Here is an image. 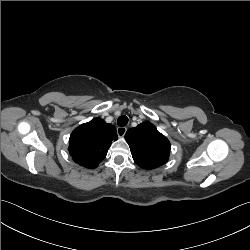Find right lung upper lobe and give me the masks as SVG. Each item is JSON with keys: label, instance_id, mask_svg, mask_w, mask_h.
<instances>
[{"label": "right lung upper lobe", "instance_id": "cb5924a9", "mask_svg": "<svg viewBox=\"0 0 250 250\" xmlns=\"http://www.w3.org/2000/svg\"><path fill=\"white\" fill-rule=\"evenodd\" d=\"M117 139L114 126L94 118L73 131L68 150L76 163L87 168H96L106 157L112 141Z\"/></svg>", "mask_w": 250, "mask_h": 250}]
</instances>
